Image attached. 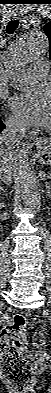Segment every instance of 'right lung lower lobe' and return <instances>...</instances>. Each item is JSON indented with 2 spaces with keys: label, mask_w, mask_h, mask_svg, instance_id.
Segmentation results:
<instances>
[{
  "label": "right lung lower lobe",
  "mask_w": 51,
  "mask_h": 393,
  "mask_svg": "<svg viewBox=\"0 0 51 393\" xmlns=\"http://www.w3.org/2000/svg\"><path fill=\"white\" fill-rule=\"evenodd\" d=\"M5 128V125L2 123V121L0 120V132Z\"/></svg>",
  "instance_id": "1"
}]
</instances>
